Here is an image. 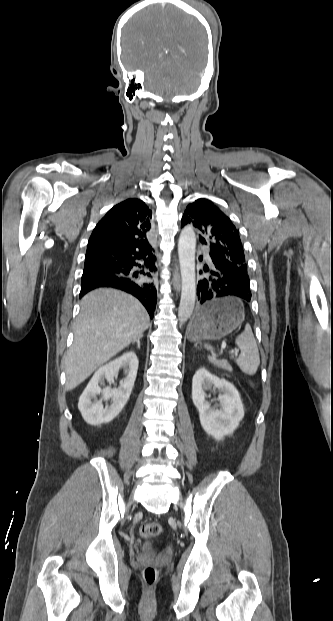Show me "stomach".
Wrapping results in <instances>:
<instances>
[{
  "mask_svg": "<svg viewBox=\"0 0 333 621\" xmlns=\"http://www.w3.org/2000/svg\"><path fill=\"white\" fill-rule=\"evenodd\" d=\"M243 319V307L237 298L212 300L197 311L188 328L190 341L220 339L235 330Z\"/></svg>",
  "mask_w": 333,
  "mask_h": 621,
  "instance_id": "obj_1",
  "label": "stomach"
}]
</instances>
